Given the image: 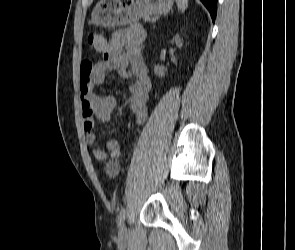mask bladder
I'll return each instance as SVG.
<instances>
[{"mask_svg":"<svg viewBox=\"0 0 295 250\" xmlns=\"http://www.w3.org/2000/svg\"><path fill=\"white\" fill-rule=\"evenodd\" d=\"M106 169L109 175H115L117 173V166L112 162H108Z\"/></svg>","mask_w":295,"mask_h":250,"instance_id":"bladder-1","label":"bladder"}]
</instances>
